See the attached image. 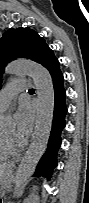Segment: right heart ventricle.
I'll use <instances>...</instances> for the list:
<instances>
[{"label": "right heart ventricle", "mask_w": 89, "mask_h": 203, "mask_svg": "<svg viewBox=\"0 0 89 203\" xmlns=\"http://www.w3.org/2000/svg\"><path fill=\"white\" fill-rule=\"evenodd\" d=\"M10 155L6 153L0 136V160H6Z\"/></svg>", "instance_id": "right-heart-ventricle-1"}]
</instances>
